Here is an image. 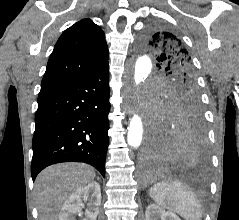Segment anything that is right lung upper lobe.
I'll return each instance as SVG.
<instances>
[{
	"label": "right lung upper lobe",
	"instance_id": "right-lung-upper-lobe-1",
	"mask_svg": "<svg viewBox=\"0 0 239 220\" xmlns=\"http://www.w3.org/2000/svg\"><path fill=\"white\" fill-rule=\"evenodd\" d=\"M104 32L90 19L69 27L58 39L48 60L41 89L80 79L108 63Z\"/></svg>",
	"mask_w": 239,
	"mask_h": 220
}]
</instances>
